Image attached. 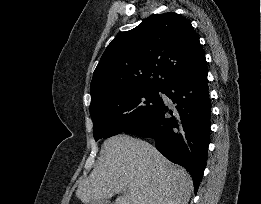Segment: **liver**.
Wrapping results in <instances>:
<instances>
[{"label":"liver","mask_w":261,"mask_h":204,"mask_svg":"<svg viewBox=\"0 0 261 204\" xmlns=\"http://www.w3.org/2000/svg\"><path fill=\"white\" fill-rule=\"evenodd\" d=\"M100 159L78 184L82 202L103 200L124 192L114 204H187L191 176L167 160L153 145L120 134L104 141Z\"/></svg>","instance_id":"1"}]
</instances>
